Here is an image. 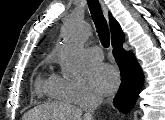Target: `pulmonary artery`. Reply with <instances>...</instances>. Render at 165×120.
I'll list each match as a JSON object with an SVG mask.
<instances>
[{
	"instance_id": "obj_1",
	"label": "pulmonary artery",
	"mask_w": 165,
	"mask_h": 120,
	"mask_svg": "<svg viewBox=\"0 0 165 120\" xmlns=\"http://www.w3.org/2000/svg\"><path fill=\"white\" fill-rule=\"evenodd\" d=\"M86 56L90 61H100L103 58V52L100 47L92 46L86 50Z\"/></svg>"
}]
</instances>
